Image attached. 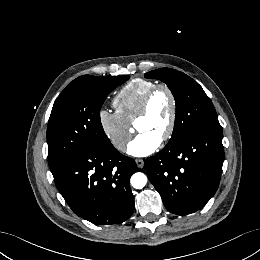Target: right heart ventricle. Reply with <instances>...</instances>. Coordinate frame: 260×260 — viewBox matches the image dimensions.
Wrapping results in <instances>:
<instances>
[{
  "mask_svg": "<svg viewBox=\"0 0 260 260\" xmlns=\"http://www.w3.org/2000/svg\"><path fill=\"white\" fill-rule=\"evenodd\" d=\"M156 82L136 78L123 86L113 99L116 111L128 122L133 123L145 94Z\"/></svg>",
  "mask_w": 260,
  "mask_h": 260,
  "instance_id": "e07e8e85",
  "label": "right heart ventricle"
}]
</instances>
